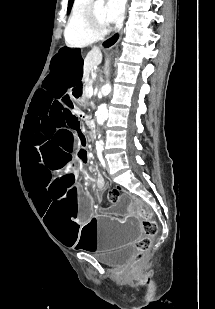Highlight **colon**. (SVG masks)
<instances>
[{
	"label": "colon",
	"mask_w": 215,
	"mask_h": 309,
	"mask_svg": "<svg viewBox=\"0 0 215 309\" xmlns=\"http://www.w3.org/2000/svg\"><path fill=\"white\" fill-rule=\"evenodd\" d=\"M118 199L119 192L117 190H111L108 193V201L111 204H116ZM143 216V228L145 236L136 243L135 257L138 260L143 259L147 255L151 245V237L156 235L158 232V226L156 222L148 215L147 210L143 211Z\"/></svg>",
	"instance_id": "1"
}]
</instances>
